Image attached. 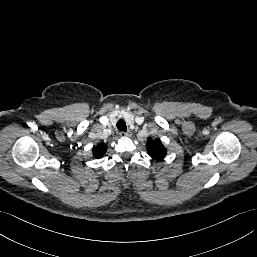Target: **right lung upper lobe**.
<instances>
[{"mask_svg": "<svg viewBox=\"0 0 257 257\" xmlns=\"http://www.w3.org/2000/svg\"><path fill=\"white\" fill-rule=\"evenodd\" d=\"M107 150V146L103 143L98 144L92 149L94 158H101Z\"/></svg>", "mask_w": 257, "mask_h": 257, "instance_id": "cb5924a9", "label": "right lung upper lobe"}]
</instances>
